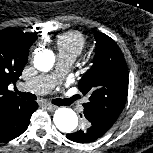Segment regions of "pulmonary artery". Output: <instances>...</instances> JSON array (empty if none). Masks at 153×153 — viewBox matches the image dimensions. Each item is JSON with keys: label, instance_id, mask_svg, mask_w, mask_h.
Returning a JSON list of instances; mask_svg holds the SVG:
<instances>
[{"label": "pulmonary artery", "instance_id": "e3ab8cb5", "mask_svg": "<svg viewBox=\"0 0 153 153\" xmlns=\"http://www.w3.org/2000/svg\"><path fill=\"white\" fill-rule=\"evenodd\" d=\"M73 62L74 59L71 57L58 55V68L55 73L38 75L25 82L23 88L37 94H45L49 92L61 81Z\"/></svg>", "mask_w": 153, "mask_h": 153}]
</instances>
